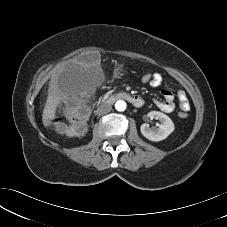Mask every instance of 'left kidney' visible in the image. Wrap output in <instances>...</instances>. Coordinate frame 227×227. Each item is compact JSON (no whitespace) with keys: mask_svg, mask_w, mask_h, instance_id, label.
Wrapping results in <instances>:
<instances>
[{"mask_svg":"<svg viewBox=\"0 0 227 227\" xmlns=\"http://www.w3.org/2000/svg\"><path fill=\"white\" fill-rule=\"evenodd\" d=\"M147 116L151 119L155 118L160 121V124L157 127H150L147 123L141 125V133L148 140L155 142L164 140L174 131L173 121L164 113L151 111Z\"/></svg>","mask_w":227,"mask_h":227,"instance_id":"left-kidney-1","label":"left kidney"}]
</instances>
